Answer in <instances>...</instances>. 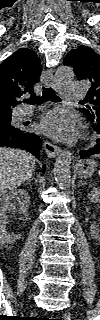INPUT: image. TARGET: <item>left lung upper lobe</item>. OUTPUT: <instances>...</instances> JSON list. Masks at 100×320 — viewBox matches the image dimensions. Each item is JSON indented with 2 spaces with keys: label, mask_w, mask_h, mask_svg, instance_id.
I'll use <instances>...</instances> for the list:
<instances>
[{
  "label": "left lung upper lobe",
  "mask_w": 100,
  "mask_h": 320,
  "mask_svg": "<svg viewBox=\"0 0 100 320\" xmlns=\"http://www.w3.org/2000/svg\"><path fill=\"white\" fill-rule=\"evenodd\" d=\"M64 65L74 68L78 80L91 83L86 101L92 106L80 109L90 121L100 119V56L91 48L80 46L71 50L64 59Z\"/></svg>",
  "instance_id": "left-lung-upper-lobe-1"
}]
</instances>
